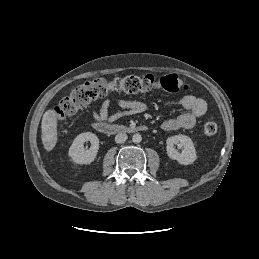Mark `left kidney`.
<instances>
[{"instance_id": "obj_1", "label": "left kidney", "mask_w": 259, "mask_h": 259, "mask_svg": "<svg viewBox=\"0 0 259 259\" xmlns=\"http://www.w3.org/2000/svg\"><path fill=\"white\" fill-rule=\"evenodd\" d=\"M166 150L169 158L173 160H177L178 163L183 165L192 164L196 159V150L193 144V141L190 137L186 135H175L169 137L166 141ZM178 145L179 147H183V152L179 153L174 145Z\"/></svg>"}]
</instances>
